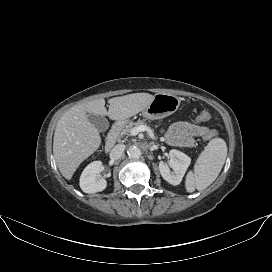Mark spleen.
Wrapping results in <instances>:
<instances>
[{"label": "spleen", "instance_id": "3e777b00", "mask_svg": "<svg viewBox=\"0 0 272 272\" xmlns=\"http://www.w3.org/2000/svg\"><path fill=\"white\" fill-rule=\"evenodd\" d=\"M227 157V145L222 138L210 140L198 157L194 172H189L185 180L187 192L207 188L218 177Z\"/></svg>", "mask_w": 272, "mask_h": 272}]
</instances>
